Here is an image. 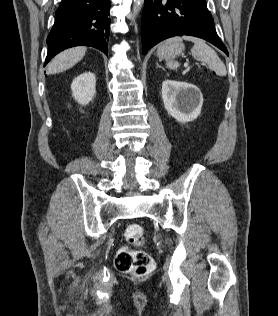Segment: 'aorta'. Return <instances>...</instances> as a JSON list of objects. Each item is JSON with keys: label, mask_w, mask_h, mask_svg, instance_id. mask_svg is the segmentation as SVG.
Wrapping results in <instances>:
<instances>
[{"label": "aorta", "mask_w": 278, "mask_h": 316, "mask_svg": "<svg viewBox=\"0 0 278 316\" xmlns=\"http://www.w3.org/2000/svg\"><path fill=\"white\" fill-rule=\"evenodd\" d=\"M143 4L144 0H134L133 13L131 15V18H135L138 15Z\"/></svg>", "instance_id": "obj_1"}]
</instances>
